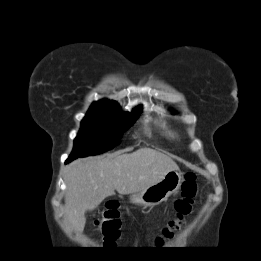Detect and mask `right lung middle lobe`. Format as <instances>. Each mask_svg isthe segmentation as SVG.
<instances>
[{"label": "right lung middle lobe", "mask_w": 261, "mask_h": 261, "mask_svg": "<svg viewBox=\"0 0 261 261\" xmlns=\"http://www.w3.org/2000/svg\"><path fill=\"white\" fill-rule=\"evenodd\" d=\"M140 112V108L131 114L122 112L115 101L93 103L81 122L70 157L76 159L112 149L120 143L122 134L134 124Z\"/></svg>", "instance_id": "1"}]
</instances>
